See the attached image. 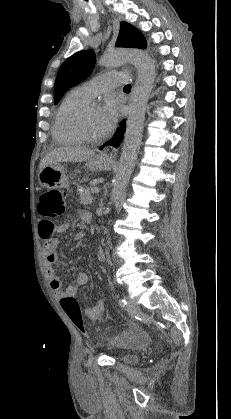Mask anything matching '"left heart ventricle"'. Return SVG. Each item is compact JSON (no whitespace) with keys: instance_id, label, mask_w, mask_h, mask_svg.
<instances>
[{"instance_id":"left-heart-ventricle-1","label":"left heart ventricle","mask_w":231,"mask_h":419,"mask_svg":"<svg viewBox=\"0 0 231 419\" xmlns=\"http://www.w3.org/2000/svg\"><path fill=\"white\" fill-rule=\"evenodd\" d=\"M98 112V109L90 107L85 117V129L91 136H101L104 134L99 122Z\"/></svg>"}]
</instances>
